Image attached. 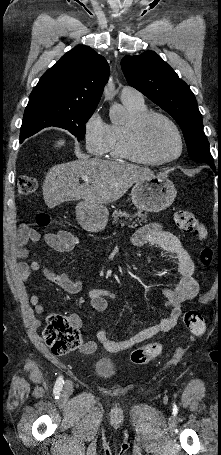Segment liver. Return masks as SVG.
Instances as JSON below:
<instances>
[{"label":"liver","mask_w":221,"mask_h":455,"mask_svg":"<svg viewBox=\"0 0 221 455\" xmlns=\"http://www.w3.org/2000/svg\"><path fill=\"white\" fill-rule=\"evenodd\" d=\"M60 139L55 147L61 148ZM82 175H88L85 184L79 183ZM148 168L119 161L82 159L52 166L46 174L42 189L48 208L83 199L90 204L111 203L120 199L128 189L144 178L153 176Z\"/></svg>","instance_id":"1"}]
</instances>
